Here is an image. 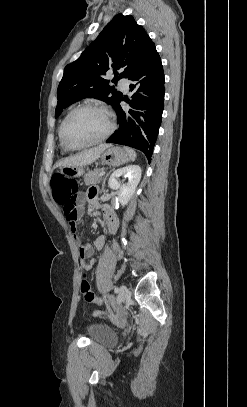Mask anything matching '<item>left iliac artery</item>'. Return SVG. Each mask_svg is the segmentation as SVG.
Wrapping results in <instances>:
<instances>
[{"label":"left iliac artery","mask_w":247,"mask_h":407,"mask_svg":"<svg viewBox=\"0 0 247 407\" xmlns=\"http://www.w3.org/2000/svg\"><path fill=\"white\" fill-rule=\"evenodd\" d=\"M119 291V289L118 288H115V292H118Z\"/></svg>","instance_id":"obj_1"}]
</instances>
